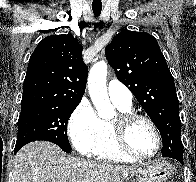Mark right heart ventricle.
Instances as JSON below:
<instances>
[{"label":"right heart ventricle","mask_w":196,"mask_h":182,"mask_svg":"<svg viewBox=\"0 0 196 182\" xmlns=\"http://www.w3.org/2000/svg\"><path fill=\"white\" fill-rule=\"evenodd\" d=\"M113 103L121 112L131 111V105H122L117 102ZM89 155L98 160L118 163H130L135 160L123 154L116 147L115 142L113 140L111 124L109 121L106 120H100L99 140Z\"/></svg>","instance_id":"e07e8e85"}]
</instances>
